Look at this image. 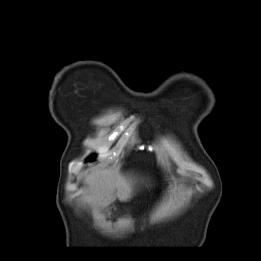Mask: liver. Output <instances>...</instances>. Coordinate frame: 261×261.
I'll use <instances>...</instances> for the list:
<instances>
[{
	"instance_id": "obj_1",
	"label": "liver",
	"mask_w": 261,
	"mask_h": 261,
	"mask_svg": "<svg viewBox=\"0 0 261 261\" xmlns=\"http://www.w3.org/2000/svg\"><path fill=\"white\" fill-rule=\"evenodd\" d=\"M88 187L84 203L95 211H102L118 198L127 201L131 198L134 181L122 175L116 168L100 169L94 167L83 178Z\"/></svg>"
}]
</instances>
